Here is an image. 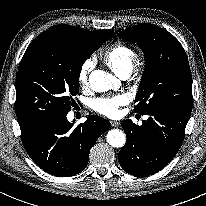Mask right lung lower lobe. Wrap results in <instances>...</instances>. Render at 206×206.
Instances as JSON below:
<instances>
[{"mask_svg": "<svg viewBox=\"0 0 206 206\" xmlns=\"http://www.w3.org/2000/svg\"><path fill=\"white\" fill-rule=\"evenodd\" d=\"M66 115L20 128L23 145L32 160L54 176L66 177L82 172L96 140L110 128L108 120L89 115L73 128Z\"/></svg>", "mask_w": 206, "mask_h": 206, "instance_id": "right-lung-lower-lobe-1", "label": "right lung lower lobe"}]
</instances>
